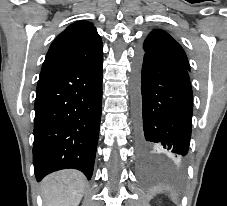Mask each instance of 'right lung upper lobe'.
Here are the masks:
<instances>
[{
	"instance_id": "right-lung-upper-lobe-1",
	"label": "right lung upper lobe",
	"mask_w": 227,
	"mask_h": 206,
	"mask_svg": "<svg viewBox=\"0 0 227 206\" xmlns=\"http://www.w3.org/2000/svg\"><path fill=\"white\" fill-rule=\"evenodd\" d=\"M103 58V45L93 24L78 21L52 42L40 77L87 65Z\"/></svg>"
}]
</instances>
